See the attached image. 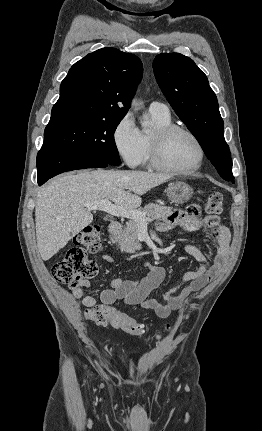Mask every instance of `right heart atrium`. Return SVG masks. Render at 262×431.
<instances>
[{"instance_id": "1", "label": "right heart atrium", "mask_w": 262, "mask_h": 431, "mask_svg": "<svg viewBox=\"0 0 262 431\" xmlns=\"http://www.w3.org/2000/svg\"><path fill=\"white\" fill-rule=\"evenodd\" d=\"M112 137L117 152L127 165L137 166L142 162L144 147L141 132L130 113L117 122Z\"/></svg>"}]
</instances>
